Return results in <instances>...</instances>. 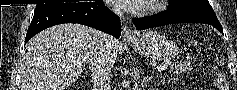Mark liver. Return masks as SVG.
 Instances as JSON below:
<instances>
[{"label": "liver", "instance_id": "6515ba94", "mask_svg": "<svg viewBox=\"0 0 237 90\" xmlns=\"http://www.w3.org/2000/svg\"><path fill=\"white\" fill-rule=\"evenodd\" d=\"M101 36L81 24H60L34 36L20 60L22 90H67L98 52Z\"/></svg>", "mask_w": 237, "mask_h": 90}]
</instances>
